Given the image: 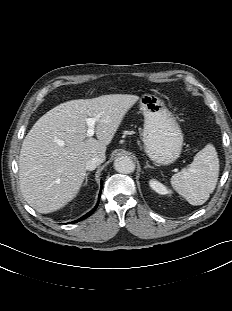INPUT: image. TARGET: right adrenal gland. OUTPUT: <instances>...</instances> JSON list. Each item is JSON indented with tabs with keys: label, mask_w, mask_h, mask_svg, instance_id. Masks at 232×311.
<instances>
[{
	"label": "right adrenal gland",
	"mask_w": 232,
	"mask_h": 311,
	"mask_svg": "<svg viewBox=\"0 0 232 311\" xmlns=\"http://www.w3.org/2000/svg\"><path fill=\"white\" fill-rule=\"evenodd\" d=\"M90 173H87L86 174V177H85V185L87 184V182H88V175H89Z\"/></svg>",
	"instance_id": "1"
}]
</instances>
